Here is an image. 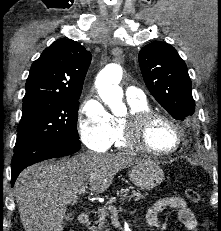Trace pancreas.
Instances as JSON below:
<instances>
[{"label": "pancreas", "instance_id": "cf45deb5", "mask_svg": "<svg viewBox=\"0 0 221 231\" xmlns=\"http://www.w3.org/2000/svg\"><path fill=\"white\" fill-rule=\"evenodd\" d=\"M129 189H133L132 187H129ZM129 189H122L117 192V195H119L120 200L122 201H130L131 199H134V201H138L141 198H145L146 195L142 194L139 190H132L131 194H128ZM116 197H112L103 207L98 209V220L95 221L96 226H92V231H100L107 226V216L109 211L111 210V207L113 206V203L116 202ZM109 231V230H105Z\"/></svg>", "mask_w": 221, "mask_h": 231}]
</instances>
